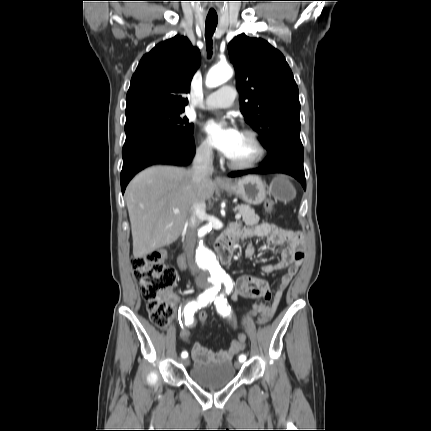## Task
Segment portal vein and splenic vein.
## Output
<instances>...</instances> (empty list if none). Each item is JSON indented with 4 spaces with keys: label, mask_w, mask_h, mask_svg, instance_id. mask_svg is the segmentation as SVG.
Here are the masks:
<instances>
[{
    "label": "portal vein and splenic vein",
    "mask_w": 431,
    "mask_h": 431,
    "mask_svg": "<svg viewBox=\"0 0 431 431\" xmlns=\"http://www.w3.org/2000/svg\"><path fill=\"white\" fill-rule=\"evenodd\" d=\"M173 212H174L175 214H178V213H179V210L174 209V210H173ZM240 218H241V212H238V213L235 215V219H236V220H239Z\"/></svg>",
    "instance_id": "1"
}]
</instances>
